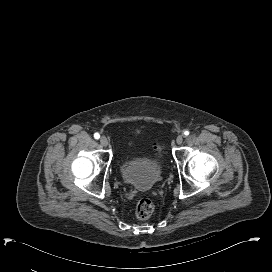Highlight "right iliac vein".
<instances>
[{
	"mask_svg": "<svg viewBox=\"0 0 272 272\" xmlns=\"http://www.w3.org/2000/svg\"><path fill=\"white\" fill-rule=\"evenodd\" d=\"M100 144L104 147H106L108 145V139L105 136H102L100 138Z\"/></svg>",
	"mask_w": 272,
	"mask_h": 272,
	"instance_id": "obj_1",
	"label": "right iliac vein"
}]
</instances>
